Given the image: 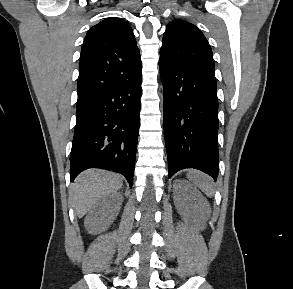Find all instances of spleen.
<instances>
[{
	"mask_svg": "<svg viewBox=\"0 0 293 289\" xmlns=\"http://www.w3.org/2000/svg\"><path fill=\"white\" fill-rule=\"evenodd\" d=\"M187 178L208 197H212L214 195L213 180L206 174L196 170H190L187 173Z\"/></svg>",
	"mask_w": 293,
	"mask_h": 289,
	"instance_id": "1",
	"label": "spleen"
}]
</instances>
